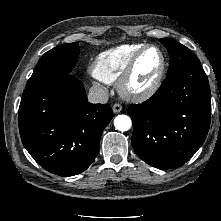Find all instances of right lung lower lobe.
I'll use <instances>...</instances> for the list:
<instances>
[{
  "label": "right lung lower lobe",
  "mask_w": 221,
  "mask_h": 221,
  "mask_svg": "<svg viewBox=\"0 0 221 221\" xmlns=\"http://www.w3.org/2000/svg\"><path fill=\"white\" fill-rule=\"evenodd\" d=\"M113 118L109 104H91L84 86L66 75L31 76L19 107L24 147L47 171L73 176L99 152L104 128Z\"/></svg>",
  "instance_id": "98d812e1"
}]
</instances>
